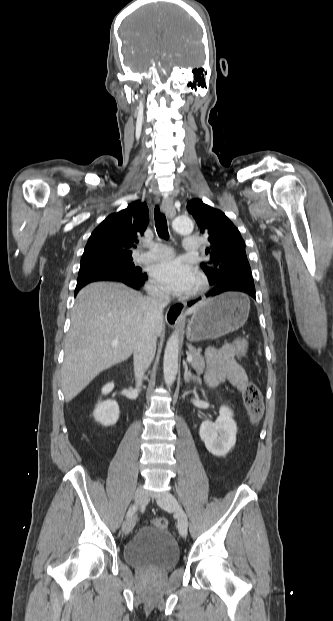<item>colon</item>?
I'll list each match as a JSON object with an SVG mask.
<instances>
[{"label": "colon", "instance_id": "colon-1", "mask_svg": "<svg viewBox=\"0 0 333 621\" xmlns=\"http://www.w3.org/2000/svg\"><path fill=\"white\" fill-rule=\"evenodd\" d=\"M246 350L247 344L245 341L240 340L236 342L235 353L238 358H243ZM243 399L249 417L252 421H257L262 416L264 403L263 395L255 383L249 382L246 385L243 391ZM152 523L154 526L162 529H166L168 526V522L165 518H155Z\"/></svg>", "mask_w": 333, "mask_h": 621}]
</instances>
